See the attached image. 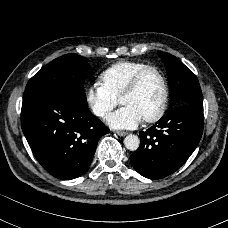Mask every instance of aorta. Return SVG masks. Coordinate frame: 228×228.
<instances>
[{
  "label": "aorta",
  "instance_id": "762f6f07",
  "mask_svg": "<svg viewBox=\"0 0 228 228\" xmlns=\"http://www.w3.org/2000/svg\"><path fill=\"white\" fill-rule=\"evenodd\" d=\"M125 147L130 151H136L140 146V139L136 135L126 136L124 139Z\"/></svg>",
  "mask_w": 228,
  "mask_h": 228
}]
</instances>
